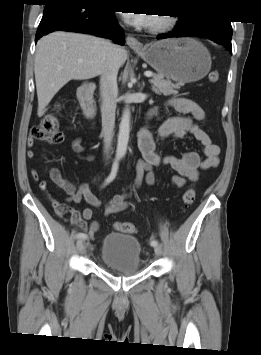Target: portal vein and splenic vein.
<instances>
[{
	"label": "portal vein and splenic vein",
	"mask_w": 261,
	"mask_h": 355,
	"mask_svg": "<svg viewBox=\"0 0 261 355\" xmlns=\"http://www.w3.org/2000/svg\"><path fill=\"white\" fill-rule=\"evenodd\" d=\"M80 62H81V61H80ZM144 75H145L146 77H152V76H153V73L150 72V71H146V72L144 73Z\"/></svg>",
	"instance_id": "portal-vein-and-splenic-vein-1"
}]
</instances>
